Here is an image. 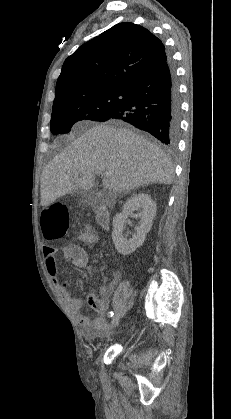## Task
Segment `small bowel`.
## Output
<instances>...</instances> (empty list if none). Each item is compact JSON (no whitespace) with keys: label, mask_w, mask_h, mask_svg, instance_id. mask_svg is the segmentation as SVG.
Masks as SVG:
<instances>
[{"label":"small bowel","mask_w":231,"mask_h":419,"mask_svg":"<svg viewBox=\"0 0 231 419\" xmlns=\"http://www.w3.org/2000/svg\"><path fill=\"white\" fill-rule=\"evenodd\" d=\"M80 241L88 244H94L97 241L95 233L90 227H86L85 231L80 235ZM44 257L47 271L54 285L64 298L67 306L72 311L78 312V320L82 326V333L86 339L94 340L101 336L107 329V321L104 317L107 305L105 301L97 299L94 295H90L89 305L95 309L100 315L95 318H89L80 311L83 307V299L73 296L69 293L67 283L59 280L56 255L57 250L52 247H44ZM62 259L65 263H71L76 268H85L89 261L86 250L76 244H67L61 249ZM82 287V283H79Z\"/></svg>","instance_id":"c3829d8e"}]
</instances>
